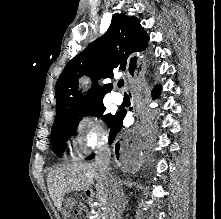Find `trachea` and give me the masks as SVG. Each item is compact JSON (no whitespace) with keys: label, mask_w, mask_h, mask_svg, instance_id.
I'll return each instance as SVG.
<instances>
[{"label":"trachea","mask_w":221,"mask_h":219,"mask_svg":"<svg viewBox=\"0 0 221 219\" xmlns=\"http://www.w3.org/2000/svg\"><path fill=\"white\" fill-rule=\"evenodd\" d=\"M124 85V80H119L118 81V87H122Z\"/></svg>","instance_id":"trachea-1"}]
</instances>
